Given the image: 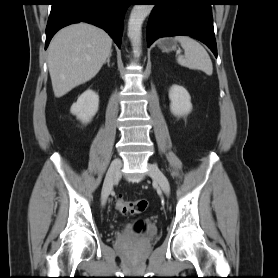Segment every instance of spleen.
<instances>
[{
	"label": "spleen",
	"mask_w": 278,
	"mask_h": 278,
	"mask_svg": "<svg viewBox=\"0 0 278 278\" xmlns=\"http://www.w3.org/2000/svg\"><path fill=\"white\" fill-rule=\"evenodd\" d=\"M174 40L178 41L184 49V55L177 57V62L180 65L202 70L207 75H212V61L200 43L188 36H176Z\"/></svg>",
	"instance_id": "obj_1"
}]
</instances>
